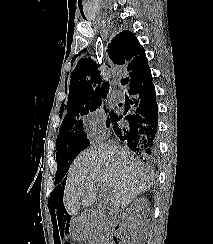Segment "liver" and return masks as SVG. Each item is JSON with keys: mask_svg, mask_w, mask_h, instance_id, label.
<instances>
[{"mask_svg": "<svg viewBox=\"0 0 213 244\" xmlns=\"http://www.w3.org/2000/svg\"><path fill=\"white\" fill-rule=\"evenodd\" d=\"M96 185L108 194L109 204L118 210L149 190L153 177L126 150L99 144L80 153L70 166L63 195L64 206L70 215H75L81 205L94 204Z\"/></svg>", "mask_w": 213, "mask_h": 244, "instance_id": "1", "label": "liver"}]
</instances>
